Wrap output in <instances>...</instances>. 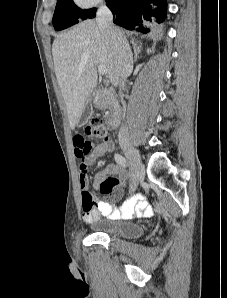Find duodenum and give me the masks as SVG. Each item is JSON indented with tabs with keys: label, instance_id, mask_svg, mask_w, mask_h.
Returning a JSON list of instances; mask_svg holds the SVG:
<instances>
[{
	"label": "duodenum",
	"instance_id": "410a0bca",
	"mask_svg": "<svg viewBox=\"0 0 227 298\" xmlns=\"http://www.w3.org/2000/svg\"><path fill=\"white\" fill-rule=\"evenodd\" d=\"M96 105L101 109H107L106 124L110 129H115L120 120V106L113 94L109 91H100L95 98Z\"/></svg>",
	"mask_w": 227,
	"mask_h": 298
}]
</instances>
